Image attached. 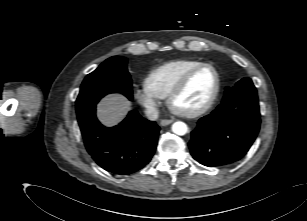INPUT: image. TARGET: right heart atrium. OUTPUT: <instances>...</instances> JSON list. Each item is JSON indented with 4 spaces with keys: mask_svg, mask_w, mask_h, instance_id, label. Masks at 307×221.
Masks as SVG:
<instances>
[{
    "mask_svg": "<svg viewBox=\"0 0 307 221\" xmlns=\"http://www.w3.org/2000/svg\"><path fill=\"white\" fill-rule=\"evenodd\" d=\"M134 98L145 109L149 115L157 112L159 99L148 92L145 88H137L134 90Z\"/></svg>",
    "mask_w": 307,
    "mask_h": 221,
    "instance_id": "right-heart-atrium-1",
    "label": "right heart atrium"
}]
</instances>
